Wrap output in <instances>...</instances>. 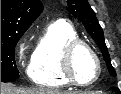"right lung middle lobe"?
<instances>
[{
	"label": "right lung middle lobe",
	"instance_id": "1",
	"mask_svg": "<svg viewBox=\"0 0 121 94\" xmlns=\"http://www.w3.org/2000/svg\"><path fill=\"white\" fill-rule=\"evenodd\" d=\"M26 30L1 34V81L12 82L19 78L15 64V46Z\"/></svg>",
	"mask_w": 121,
	"mask_h": 94
}]
</instances>
